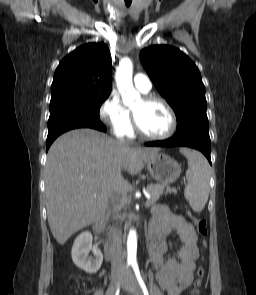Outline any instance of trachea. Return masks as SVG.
I'll list each match as a JSON object with an SVG mask.
<instances>
[{"label":"trachea","instance_id":"trachea-1","mask_svg":"<svg viewBox=\"0 0 256 295\" xmlns=\"http://www.w3.org/2000/svg\"><path fill=\"white\" fill-rule=\"evenodd\" d=\"M131 2H132V0H125V4H126V6L129 7L130 4H131Z\"/></svg>","mask_w":256,"mask_h":295}]
</instances>
